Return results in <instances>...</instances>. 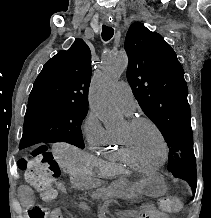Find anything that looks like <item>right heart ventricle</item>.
I'll return each instance as SVG.
<instances>
[{"instance_id": "right-heart-ventricle-1", "label": "right heart ventricle", "mask_w": 211, "mask_h": 218, "mask_svg": "<svg viewBox=\"0 0 211 218\" xmlns=\"http://www.w3.org/2000/svg\"><path fill=\"white\" fill-rule=\"evenodd\" d=\"M94 149H96V154H101L110 160L119 162V164H131V161L122 149L118 135L115 131L107 130L102 141Z\"/></svg>"}]
</instances>
